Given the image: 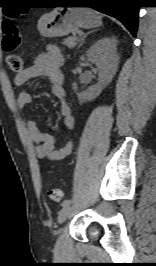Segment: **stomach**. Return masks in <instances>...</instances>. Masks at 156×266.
Segmentation results:
<instances>
[{
  "mask_svg": "<svg viewBox=\"0 0 156 266\" xmlns=\"http://www.w3.org/2000/svg\"><path fill=\"white\" fill-rule=\"evenodd\" d=\"M102 24V17L89 8L59 7L43 15L38 30L43 37H62L77 28H95Z\"/></svg>",
  "mask_w": 156,
  "mask_h": 266,
  "instance_id": "1",
  "label": "stomach"
}]
</instances>
